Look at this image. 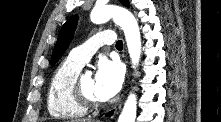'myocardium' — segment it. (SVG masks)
<instances>
[{"label":"myocardium","instance_id":"myocardium-1","mask_svg":"<svg viewBox=\"0 0 221 122\" xmlns=\"http://www.w3.org/2000/svg\"><path fill=\"white\" fill-rule=\"evenodd\" d=\"M82 76L78 75L72 85V92L75 100L86 110H96L101 107V102L91 99L84 92L81 85Z\"/></svg>","mask_w":221,"mask_h":122}]
</instances>
